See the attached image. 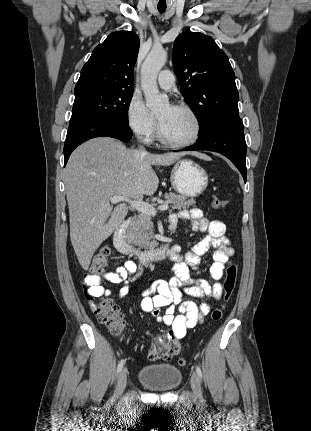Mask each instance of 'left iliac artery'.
Returning a JSON list of instances; mask_svg holds the SVG:
<instances>
[{"label":"left iliac artery","instance_id":"left-iliac-artery-1","mask_svg":"<svg viewBox=\"0 0 311 431\" xmlns=\"http://www.w3.org/2000/svg\"><path fill=\"white\" fill-rule=\"evenodd\" d=\"M196 372L200 378H202V371L199 366H196Z\"/></svg>","mask_w":311,"mask_h":431}]
</instances>
